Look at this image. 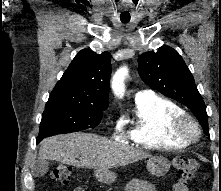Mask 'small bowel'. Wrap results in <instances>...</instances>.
Wrapping results in <instances>:
<instances>
[{
  "instance_id": "c3829d8e",
  "label": "small bowel",
  "mask_w": 221,
  "mask_h": 191,
  "mask_svg": "<svg viewBox=\"0 0 221 191\" xmlns=\"http://www.w3.org/2000/svg\"><path fill=\"white\" fill-rule=\"evenodd\" d=\"M127 191H156L154 185L147 180L132 179L127 185ZM173 191H188L183 183H175Z\"/></svg>"
}]
</instances>
